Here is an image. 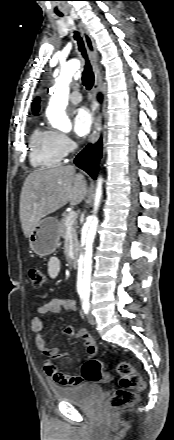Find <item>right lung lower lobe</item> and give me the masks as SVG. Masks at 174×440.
Instances as JSON below:
<instances>
[{"mask_svg": "<svg viewBox=\"0 0 174 440\" xmlns=\"http://www.w3.org/2000/svg\"><path fill=\"white\" fill-rule=\"evenodd\" d=\"M101 99V96H99ZM102 156V141L101 139L95 144H89L84 150H82L75 158L74 163L84 171H86L93 179H96L99 160Z\"/></svg>", "mask_w": 174, "mask_h": 440, "instance_id": "1", "label": "right lung lower lobe"}]
</instances>
